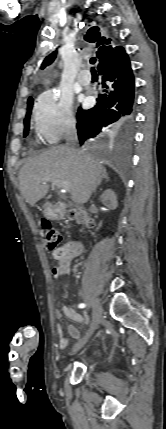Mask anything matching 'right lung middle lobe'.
<instances>
[{
  "instance_id": "1",
  "label": "right lung middle lobe",
  "mask_w": 166,
  "mask_h": 429,
  "mask_svg": "<svg viewBox=\"0 0 166 429\" xmlns=\"http://www.w3.org/2000/svg\"><path fill=\"white\" fill-rule=\"evenodd\" d=\"M27 114L24 120V125H25V129H24V137H26L28 135L29 132V122H30V115H31V111H32V106H33V99H31L30 101L27 102Z\"/></svg>"
}]
</instances>
